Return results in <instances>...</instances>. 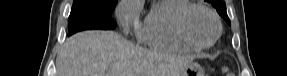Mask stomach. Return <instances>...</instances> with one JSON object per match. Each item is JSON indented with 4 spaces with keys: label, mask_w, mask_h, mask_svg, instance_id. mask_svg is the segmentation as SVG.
Returning a JSON list of instances; mask_svg holds the SVG:
<instances>
[{
    "label": "stomach",
    "mask_w": 287,
    "mask_h": 76,
    "mask_svg": "<svg viewBox=\"0 0 287 76\" xmlns=\"http://www.w3.org/2000/svg\"><path fill=\"white\" fill-rule=\"evenodd\" d=\"M182 76H204L202 68L197 63L191 62Z\"/></svg>",
    "instance_id": "stomach-1"
}]
</instances>
